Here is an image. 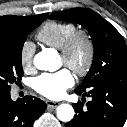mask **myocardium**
Here are the masks:
<instances>
[{"instance_id": "myocardium-1", "label": "myocardium", "mask_w": 127, "mask_h": 127, "mask_svg": "<svg viewBox=\"0 0 127 127\" xmlns=\"http://www.w3.org/2000/svg\"><path fill=\"white\" fill-rule=\"evenodd\" d=\"M83 44L86 50L85 60L82 65L77 66L73 61L76 48ZM95 42L91 33L86 29L76 30L61 48V58L65 66L78 76L86 75L93 66L95 59Z\"/></svg>"}]
</instances>
